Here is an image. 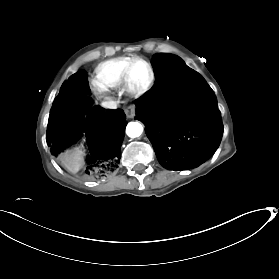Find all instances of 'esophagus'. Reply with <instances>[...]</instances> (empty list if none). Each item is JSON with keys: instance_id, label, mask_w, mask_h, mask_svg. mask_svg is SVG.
I'll return each mask as SVG.
<instances>
[{"instance_id": "obj_1", "label": "esophagus", "mask_w": 279, "mask_h": 279, "mask_svg": "<svg viewBox=\"0 0 279 279\" xmlns=\"http://www.w3.org/2000/svg\"><path fill=\"white\" fill-rule=\"evenodd\" d=\"M126 116L128 118H133L135 116V105L132 104L125 109Z\"/></svg>"}]
</instances>
